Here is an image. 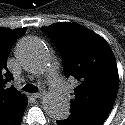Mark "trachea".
Wrapping results in <instances>:
<instances>
[{
    "mask_svg": "<svg viewBox=\"0 0 125 125\" xmlns=\"http://www.w3.org/2000/svg\"><path fill=\"white\" fill-rule=\"evenodd\" d=\"M24 91L29 93H36L38 92V88L33 84H26L23 88Z\"/></svg>",
    "mask_w": 125,
    "mask_h": 125,
    "instance_id": "trachea-1",
    "label": "trachea"
}]
</instances>
